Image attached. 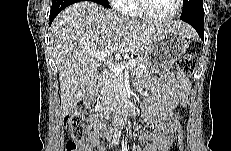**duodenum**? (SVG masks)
Segmentation results:
<instances>
[{"label":"duodenum","mask_w":231,"mask_h":151,"mask_svg":"<svg viewBox=\"0 0 231 151\" xmlns=\"http://www.w3.org/2000/svg\"><path fill=\"white\" fill-rule=\"evenodd\" d=\"M99 79L94 81L90 86H89V92L91 94V98L98 92L99 90ZM133 112V109L129 103V100L124 97L119 104L116 107V110L114 112V124L116 127L120 128L124 125L125 120L127 116H129Z\"/></svg>","instance_id":"duodenum-1"}]
</instances>
